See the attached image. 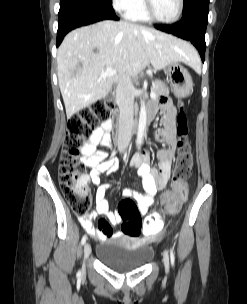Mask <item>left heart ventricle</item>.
Instances as JSON below:
<instances>
[{
  "label": "left heart ventricle",
  "instance_id": "b2bd125f",
  "mask_svg": "<svg viewBox=\"0 0 247 304\" xmlns=\"http://www.w3.org/2000/svg\"><path fill=\"white\" fill-rule=\"evenodd\" d=\"M155 15L162 20L172 19L179 7V0H151Z\"/></svg>",
  "mask_w": 247,
  "mask_h": 304
}]
</instances>
